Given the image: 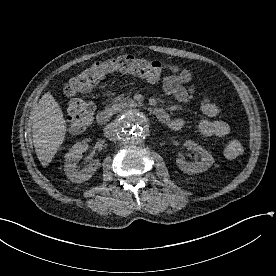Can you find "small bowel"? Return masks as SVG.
Segmentation results:
<instances>
[{
  "label": "small bowel",
  "instance_id": "obj_1",
  "mask_svg": "<svg viewBox=\"0 0 276 276\" xmlns=\"http://www.w3.org/2000/svg\"><path fill=\"white\" fill-rule=\"evenodd\" d=\"M160 63L164 70L168 72V75L162 81L163 91L180 102H190L195 93V86L190 84L193 79L192 73L179 65L166 62ZM201 110L208 117L200 120L197 124V130L201 135L224 137L230 132V126L227 122L213 119L219 115L221 109L208 97L202 100ZM165 124L170 129L177 131L186 125V121L182 118L169 117Z\"/></svg>",
  "mask_w": 276,
  "mask_h": 276
}]
</instances>
